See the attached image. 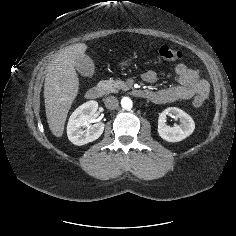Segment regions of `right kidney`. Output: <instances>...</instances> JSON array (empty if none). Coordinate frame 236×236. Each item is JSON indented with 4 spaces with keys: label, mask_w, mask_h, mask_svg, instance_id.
<instances>
[{
    "label": "right kidney",
    "mask_w": 236,
    "mask_h": 236,
    "mask_svg": "<svg viewBox=\"0 0 236 236\" xmlns=\"http://www.w3.org/2000/svg\"><path fill=\"white\" fill-rule=\"evenodd\" d=\"M98 109V102L88 101L80 105L70 116L67 124L68 139L75 145L81 146L98 139L104 131V123H90ZM83 127H87L82 130Z\"/></svg>",
    "instance_id": "obj_1"
}]
</instances>
